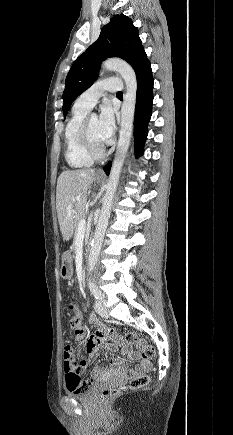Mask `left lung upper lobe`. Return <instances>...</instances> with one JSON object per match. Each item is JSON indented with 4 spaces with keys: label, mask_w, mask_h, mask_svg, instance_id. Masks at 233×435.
Segmentation results:
<instances>
[{
    "label": "left lung upper lobe",
    "mask_w": 233,
    "mask_h": 435,
    "mask_svg": "<svg viewBox=\"0 0 233 435\" xmlns=\"http://www.w3.org/2000/svg\"><path fill=\"white\" fill-rule=\"evenodd\" d=\"M109 57L127 61L136 76L150 64L132 20L123 14L114 15L101 29L98 40L73 63L65 81L63 113L66 117L72 102L97 79L101 62Z\"/></svg>",
    "instance_id": "5c2ea615"
}]
</instances>
